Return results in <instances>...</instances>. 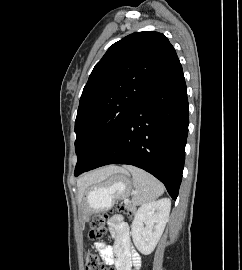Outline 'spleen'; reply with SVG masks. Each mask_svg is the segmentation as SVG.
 <instances>
[{"label":"spleen","mask_w":242,"mask_h":270,"mask_svg":"<svg viewBox=\"0 0 242 270\" xmlns=\"http://www.w3.org/2000/svg\"><path fill=\"white\" fill-rule=\"evenodd\" d=\"M126 169L132 174L135 189L132 202L135 205L153 202L164 193L162 183L146 171L134 166H127Z\"/></svg>","instance_id":"obj_1"}]
</instances>
